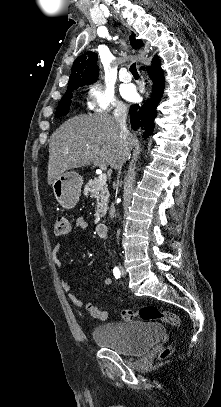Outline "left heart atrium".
I'll return each instance as SVG.
<instances>
[{"mask_svg":"<svg viewBox=\"0 0 221 407\" xmlns=\"http://www.w3.org/2000/svg\"><path fill=\"white\" fill-rule=\"evenodd\" d=\"M123 95L127 100L130 101H133L137 98V94L133 86H126L123 89Z\"/></svg>","mask_w":221,"mask_h":407,"instance_id":"1","label":"left heart atrium"}]
</instances>
